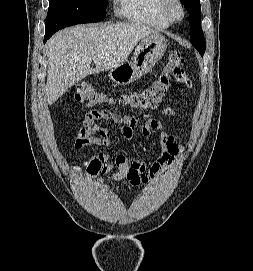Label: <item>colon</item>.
<instances>
[{"mask_svg": "<svg viewBox=\"0 0 253 271\" xmlns=\"http://www.w3.org/2000/svg\"><path fill=\"white\" fill-rule=\"evenodd\" d=\"M184 65L183 55L178 50H171L168 55L167 70L144 90L122 94L119 97L120 101L137 110L156 108L168 93L172 81L178 82L184 88L190 86L183 73ZM74 96L76 101L90 107H99L111 101L108 95L95 91L87 83H80L76 87ZM96 112L103 113L104 111Z\"/></svg>", "mask_w": 253, "mask_h": 271, "instance_id": "5ec220e1", "label": "colon"}]
</instances>
